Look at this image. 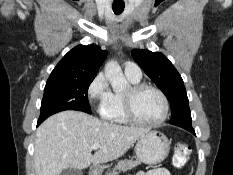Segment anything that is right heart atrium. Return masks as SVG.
<instances>
[{
  "label": "right heart atrium",
  "mask_w": 233,
  "mask_h": 175,
  "mask_svg": "<svg viewBox=\"0 0 233 175\" xmlns=\"http://www.w3.org/2000/svg\"><path fill=\"white\" fill-rule=\"evenodd\" d=\"M111 94L107 80L102 73L97 74L87 88L89 101L100 108L110 99Z\"/></svg>",
  "instance_id": "1"
}]
</instances>
